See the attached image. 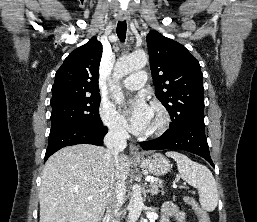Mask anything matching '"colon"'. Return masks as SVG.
<instances>
[{
  "label": "colon",
  "mask_w": 257,
  "mask_h": 222,
  "mask_svg": "<svg viewBox=\"0 0 257 222\" xmlns=\"http://www.w3.org/2000/svg\"><path fill=\"white\" fill-rule=\"evenodd\" d=\"M187 201L189 203H194L191 198H187ZM195 212L197 214L199 222H210L209 215L205 210H203L202 208H200L198 206H195Z\"/></svg>",
  "instance_id": "5ec220e1"
}]
</instances>
